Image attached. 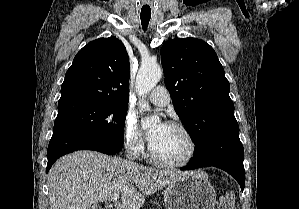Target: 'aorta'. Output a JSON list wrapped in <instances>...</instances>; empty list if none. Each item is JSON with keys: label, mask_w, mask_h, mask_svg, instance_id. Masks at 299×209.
I'll return each instance as SVG.
<instances>
[{"label": "aorta", "mask_w": 299, "mask_h": 209, "mask_svg": "<svg viewBox=\"0 0 299 209\" xmlns=\"http://www.w3.org/2000/svg\"><path fill=\"white\" fill-rule=\"evenodd\" d=\"M162 77V69L156 63H143L136 77V91L140 96L148 94ZM141 110L148 111L149 104L143 99L139 102ZM159 122L158 116H148L141 121L143 128H150Z\"/></svg>", "instance_id": "obj_1"}]
</instances>
